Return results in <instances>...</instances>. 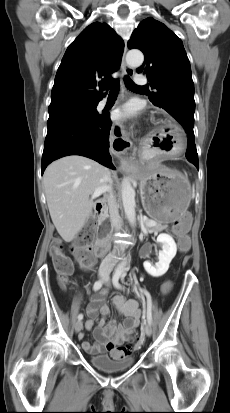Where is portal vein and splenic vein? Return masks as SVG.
<instances>
[{
	"label": "portal vein and splenic vein",
	"instance_id": "18ae733b",
	"mask_svg": "<svg viewBox=\"0 0 230 413\" xmlns=\"http://www.w3.org/2000/svg\"><path fill=\"white\" fill-rule=\"evenodd\" d=\"M111 188L109 186H101L95 189V191L92 194V199L100 196L101 194L110 191ZM149 226H154L156 223L154 221L148 222Z\"/></svg>",
	"mask_w": 230,
	"mask_h": 413
}]
</instances>
